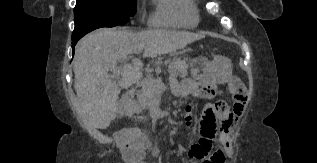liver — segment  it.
<instances>
[{
	"instance_id": "liver-1",
	"label": "liver",
	"mask_w": 317,
	"mask_h": 163,
	"mask_svg": "<svg viewBox=\"0 0 317 163\" xmlns=\"http://www.w3.org/2000/svg\"><path fill=\"white\" fill-rule=\"evenodd\" d=\"M203 36L188 31L151 29L141 32L100 28L84 36L75 47L74 89L81 112L95 129H106L118 113V96L142 77L143 58L185 48ZM131 58L130 63H125ZM124 63L121 78L109 70Z\"/></svg>"
}]
</instances>
